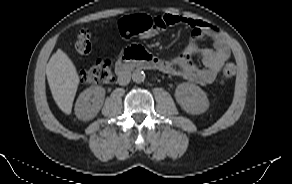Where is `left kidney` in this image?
<instances>
[{
    "instance_id": "obj_1",
    "label": "left kidney",
    "mask_w": 292,
    "mask_h": 184,
    "mask_svg": "<svg viewBox=\"0 0 292 184\" xmlns=\"http://www.w3.org/2000/svg\"><path fill=\"white\" fill-rule=\"evenodd\" d=\"M175 98L181 108L190 114H202L209 108L206 93L195 84H179L175 90Z\"/></svg>"
}]
</instances>
